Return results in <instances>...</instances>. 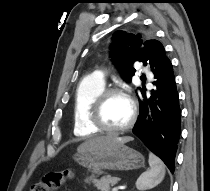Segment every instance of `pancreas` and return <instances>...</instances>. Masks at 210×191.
Masks as SVG:
<instances>
[{"label": "pancreas", "instance_id": "cf45deb5", "mask_svg": "<svg viewBox=\"0 0 210 191\" xmlns=\"http://www.w3.org/2000/svg\"><path fill=\"white\" fill-rule=\"evenodd\" d=\"M89 180L92 181L94 186L100 191H110V186L118 183L119 178L111 177L110 175L103 176L100 180H97L94 176H90Z\"/></svg>", "mask_w": 210, "mask_h": 191}]
</instances>
